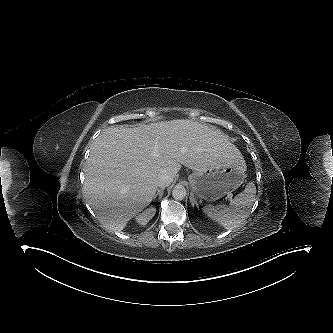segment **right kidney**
I'll use <instances>...</instances> for the list:
<instances>
[{"label": "right kidney", "instance_id": "right-kidney-1", "mask_svg": "<svg viewBox=\"0 0 333 333\" xmlns=\"http://www.w3.org/2000/svg\"><path fill=\"white\" fill-rule=\"evenodd\" d=\"M155 213H156L155 207H149L144 212L138 214L135 220L139 225L144 226L154 217Z\"/></svg>", "mask_w": 333, "mask_h": 333}]
</instances>
